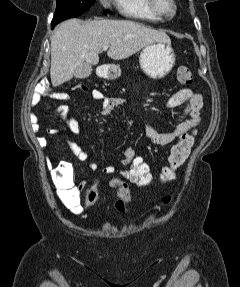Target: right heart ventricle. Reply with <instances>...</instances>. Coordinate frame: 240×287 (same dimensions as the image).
Returning <instances> with one entry per match:
<instances>
[{"mask_svg": "<svg viewBox=\"0 0 240 287\" xmlns=\"http://www.w3.org/2000/svg\"><path fill=\"white\" fill-rule=\"evenodd\" d=\"M119 13L127 18L159 22L161 17L150 8L148 0H113Z\"/></svg>", "mask_w": 240, "mask_h": 287, "instance_id": "1", "label": "right heart ventricle"}]
</instances>
